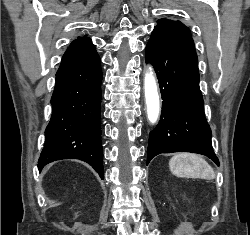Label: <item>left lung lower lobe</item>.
I'll return each mask as SVG.
<instances>
[{
	"label": "left lung lower lobe",
	"instance_id": "1",
	"mask_svg": "<svg viewBox=\"0 0 250 235\" xmlns=\"http://www.w3.org/2000/svg\"><path fill=\"white\" fill-rule=\"evenodd\" d=\"M145 60L154 66L163 100L159 124L149 134L147 164L161 153L192 152L219 165L204 116L192 37L152 33Z\"/></svg>",
	"mask_w": 250,
	"mask_h": 235
}]
</instances>
